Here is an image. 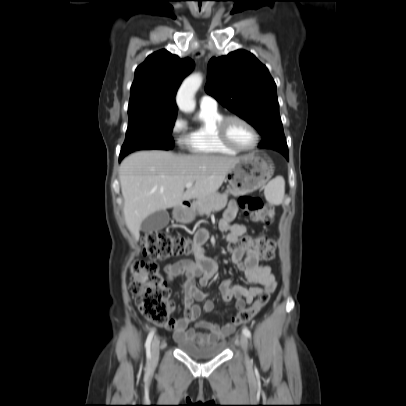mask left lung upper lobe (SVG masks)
Listing matches in <instances>:
<instances>
[{
	"label": "left lung upper lobe",
	"mask_w": 406,
	"mask_h": 406,
	"mask_svg": "<svg viewBox=\"0 0 406 406\" xmlns=\"http://www.w3.org/2000/svg\"><path fill=\"white\" fill-rule=\"evenodd\" d=\"M205 90L258 130L263 138L260 148L288 151L275 82L253 54L236 50L213 57L208 64Z\"/></svg>",
	"instance_id": "5c2ea615"
}]
</instances>
